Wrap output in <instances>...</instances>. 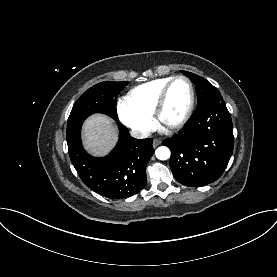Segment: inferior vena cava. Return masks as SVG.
I'll return each instance as SVG.
<instances>
[{
	"instance_id": "obj_1",
	"label": "inferior vena cava",
	"mask_w": 277,
	"mask_h": 277,
	"mask_svg": "<svg viewBox=\"0 0 277 277\" xmlns=\"http://www.w3.org/2000/svg\"><path fill=\"white\" fill-rule=\"evenodd\" d=\"M131 136L134 137V138H137V139H144V138H147L149 137L150 135V132L147 131V130H135V129H132L131 132H130Z\"/></svg>"
}]
</instances>
